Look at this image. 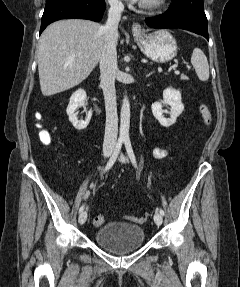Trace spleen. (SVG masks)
<instances>
[{"instance_id": "3e777b00", "label": "spleen", "mask_w": 240, "mask_h": 287, "mask_svg": "<svg viewBox=\"0 0 240 287\" xmlns=\"http://www.w3.org/2000/svg\"><path fill=\"white\" fill-rule=\"evenodd\" d=\"M191 64L195 68L196 74L201 81H207L209 79L208 60L201 49L195 48L193 50Z\"/></svg>"}]
</instances>
